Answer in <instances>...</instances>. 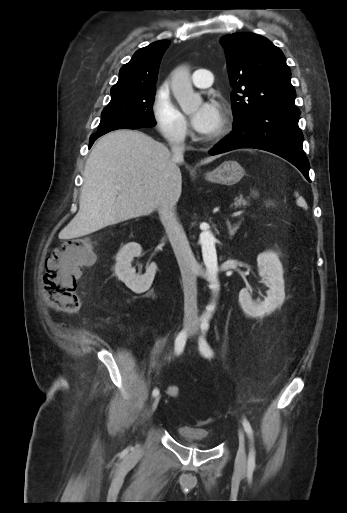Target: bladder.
I'll use <instances>...</instances> for the list:
<instances>
[{
    "mask_svg": "<svg viewBox=\"0 0 347 513\" xmlns=\"http://www.w3.org/2000/svg\"><path fill=\"white\" fill-rule=\"evenodd\" d=\"M178 433L186 445L202 450H212L217 446V442L210 437L207 429L184 425L179 427Z\"/></svg>",
    "mask_w": 347,
    "mask_h": 513,
    "instance_id": "31cf9c89",
    "label": "bladder"
}]
</instances>
